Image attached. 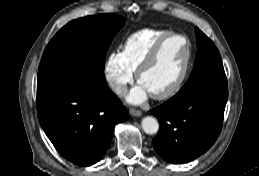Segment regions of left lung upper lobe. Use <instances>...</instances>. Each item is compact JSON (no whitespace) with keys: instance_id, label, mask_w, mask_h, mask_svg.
<instances>
[{"instance_id":"obj_1","label":"left lung upper lobe","mask_w":259,"mask_h":176,"mask_svg":"<svg viewBox=\"0 0 259 176\" xmlns=\"http://www.w3.org/2000/svg\"><path fill=\"white\" fill-rule=\"evenodd\" d=\"M198 51L190 78L179 92L200 83L227 84L222 60L215 44L198 28H195Z\"/></svg>"}]
</instances>
